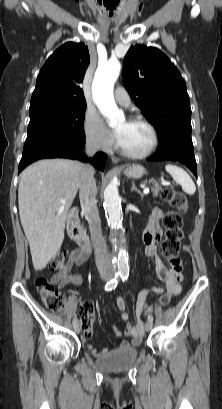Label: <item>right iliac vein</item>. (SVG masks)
Returning <instances> with one entry per match:
<instances>
[{"mask_svg":"<svg viewBox=\"0 0 222 409\" xmlns=\"http://www.w3.org/2000/svg\"><path fill=\"white\" fill-rule=\"evenodd\" d=\"M102 279L107 280V279H108V276L103 275V276H102ZM74 330H75V332L79 333V332H80V326H79L78 324H75V325H74Z\"/></svg>","mask_w":222,"mask_h":409,"instance_id":"right-iliac-vein-1","label":"right iliac vein"}]
</instances>
